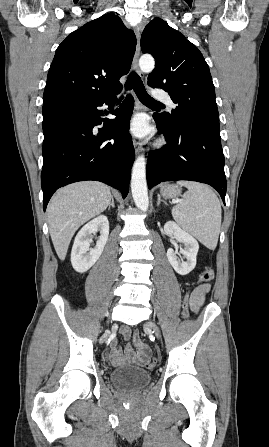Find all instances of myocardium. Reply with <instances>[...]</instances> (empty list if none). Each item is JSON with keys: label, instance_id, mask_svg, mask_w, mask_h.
Segmentation results:
<instances>
[{"label": "myocardium", "instance_id": "myocardium-1", "mask_svg": "<svg viewBox=\"0 0 269 447\" xmlns=\"http://www.w3.org/2000/svg\"><path fill=\"white\" fill-rule=\"evenodd\" d=\"M165 143H166V141L162 139V140H160V141L158 142V145H159V146H164Z\"/></svg>", "mask_w": 269, "mask_h": 447}]
</instances>
